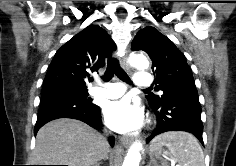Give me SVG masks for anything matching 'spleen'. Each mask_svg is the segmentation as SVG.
<instances>
[{
    "mask_svg": "<svg viewBox=\"0 0 236 166\" xmlns=\"http://www.w3.org/2000/svg\"><path fill=\"white\" fill-rule=\"evenodd\" d=\"M157 149L167 147L177 166H205L203 151L196 138L186 132H167L157 136L151 143ZM165 166L166 163H164Z\"/></svg>",
    "mask_w": 236,
    "mask_h": 166,
    "instance_id": "obj_1",
    "label": "spleen"
}]
</instances>
